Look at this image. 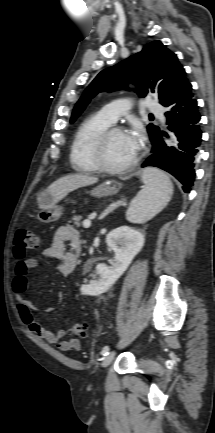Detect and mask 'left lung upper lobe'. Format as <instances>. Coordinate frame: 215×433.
Masks as SVG:
<instances>
[{
	"label": "left lung upper lobe",
	"mask_w": 215,
	"mask_h": 433,
	"mask_svg": "<svg viewBox=\"0 0 215 433\" xmlns=\"http://www.w3.org/2000/svg\"><path fill=\"white\" fill-rule=\"evenodd\" d=\"M185 78V70L178 62L176 54L167 49L160 41H153L143 50L119 64L101 71L86 88L77 102L71 122L82 113L90 100L100 91L127 88L128 83L136 85V92L144 97L158 85L159 102L168 97L171 91ZM150 140L158 133L159 127L147 126Z\"/></svg>",
	"instance_id": "left-lung-upper-lobe-1"
}]
</instances>
